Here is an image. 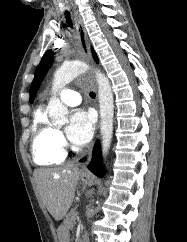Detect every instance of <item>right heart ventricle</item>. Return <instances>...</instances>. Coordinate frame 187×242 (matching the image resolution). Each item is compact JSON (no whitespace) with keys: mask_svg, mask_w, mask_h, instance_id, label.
Here are the masks:
<instances>
[{"mask_svg":"<svg viewBox=\"0 0 187 242\" xmlns=\"http://www.w3.org/2000/svg\"><path fill=\"white\" fill-rule=\"evenodd\" d=\"M57 134L45 108L38 107L32 123V155L36 164L48 166L64 161L65 152L57 140Z\"/></svg>","mask_w":187,"mask_h":242,"instance_id":"e07e8e85","label":"right heart ventricle"}]
</instances>
